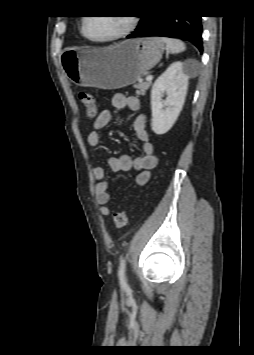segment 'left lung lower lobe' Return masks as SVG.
Listing matches in <instances>:
<instances>
[{"mask_svg":"<svg viewBox=\"0 0 254 355\" xmlns=\"http://www.w3.org/2000/svg\"><path fill=\"white\" fill-rule=\"evenodd\" d=\"M136 31L127 38L163 36L186 39L203 52L201 16H142Z\"/></svg>","mask_w":254,"mask_h":355,"instance_id":"obj_1","label":"left lung lower lobe"}]
</instances>
